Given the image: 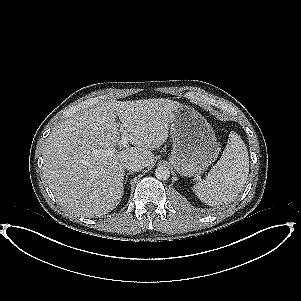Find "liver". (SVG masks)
<instances>
[{"label": "liver", "instance_id": "obj_1", "mask_svg": "<svg viewBox=\"0 0 301 301\" xmlns=\"http://www.w3.org/2000/svg\"><path fill=\"white\" fill-rule=\"evenodd\" d=\"M183 106L111 102L55 128L43 150L44 176L58 201L85 216L113 210L124 193L125 164H153L151 152L167 140ZM122 137L135 147L119 148Z\"/></svg>", "mask_w": 301, "mask_h": 301}]
</instances>
